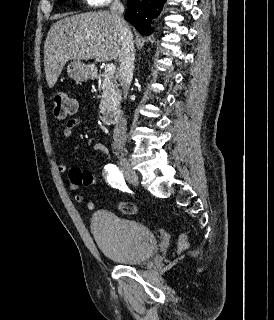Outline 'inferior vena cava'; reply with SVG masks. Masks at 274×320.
Here are the masks:
<instances>
[{
  "label": "inferior vena cava",
  "instance_id": "1",
  "mask_svg": "<svg viewBox=\"0 0 274 320\" xmlns=\"http://www.w3.org/2000/svg\"><path fill=\"white\" fill-rule=\"evenodd\" d=\"M110 12L115 24V30L121 42L119 78L122 86L123 100H127L130 82L133 78L135 60L133 36L128 24H126L123 18L124 6L120 0H114L112 6H110ZM125 126L126 120L124 116H121L117 130V142L124 140Z\"/></svg>",
  "mask_w": 274,
  "mask_h": 320
}]
</instances>
